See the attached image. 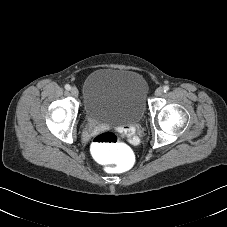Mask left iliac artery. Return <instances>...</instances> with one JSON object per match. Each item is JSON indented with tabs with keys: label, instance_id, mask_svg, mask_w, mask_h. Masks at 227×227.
<instances>
[{
	"label": "left iliac artery",
	"instance_id": "left-iliac-artery-1",
	"mask_svg": "<svg viewBox=\"0 0 227 227\" xmlns=\"http://www.w3.org/2000/svg\"><path fill=\"white\" fill-rule=\"evenodd\" d=\"M169 89H170V88H169V86H167V85L163 87L164 92H168Z\"/></svg>",
	"mask_w": 227,
	"mask_h": 227
}]
</instances>
